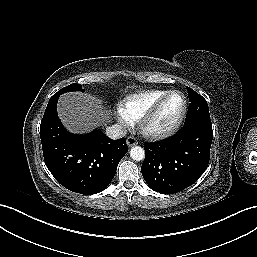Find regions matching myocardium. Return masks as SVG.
Listing matches in <instances>:
<instances>
[{
  "mask_svg": "<svg viewBox=\"0 0 257 257\" xmlns=\"http://www.w3.org/2000/svg\"><path fill=\"white\" fill-rule=\"evenodd\" d=\"M179 94L183 98V108L178 118L168 127L164 129H157L153 126V121L161 108L165 105L167 100L175 95ZM188 110V101L186 96L178 90L169 91L165 96L158 100L140 119V130L143 136L152 140H163L174 135L181 127Z\"/></svg>",
  "mask_w": 257,
  "mask_h": 257,
  "instance_id": "f54148a6",
  "label": "myocardium"
}]
</instances>
